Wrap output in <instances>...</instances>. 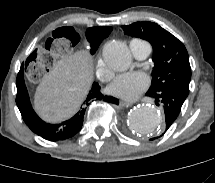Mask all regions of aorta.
Here are the masks:
<instances>
[{
  "instance_id": "aorta-1",
  "label": "aorta",
  "mask_w": 215,
  "mask_h": 183,
  "mask_svg": "<svg viewBox=\"0 0 215 183\" xmlns=\"http://www.w3.org/2000/svg\"><path fill=\"white\" fill-rule=\"evenodd\" d=\"M103 59L110 69L119 72L127 70L132 61L127 45L118 40L109 41L105 44ZM162 124L160 112L149 105L135 107L127 117V125L135 133L154 134L162 127Z\"/></svg>"
}]
</instances>
